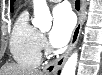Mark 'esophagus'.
<instances>
[{"instance_id":"1","label":"esophagus","mask_w":102,"mask_h":75,"mask_svg":"<svg viewBox=\"0 0 102 75\" xmlns=\"http://www.w3.org/2000/svg\"><path fill=\"white\" fill-rule=\"evenodd\" d=\"M73 8L78 16V23L76 28L73 31L70 44L67 50L57 59L46 65L43 71L46 74L56 75L58 70L64 65L65 61L67 60L68 56L70 55L71 51L74 49L75 45L77 44L80 31L83 24V11H84V0H74Z\"/></svg>"}]
</instances>
